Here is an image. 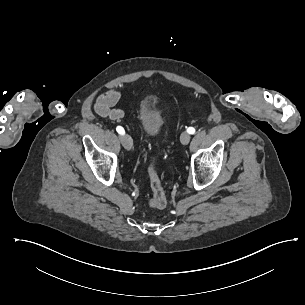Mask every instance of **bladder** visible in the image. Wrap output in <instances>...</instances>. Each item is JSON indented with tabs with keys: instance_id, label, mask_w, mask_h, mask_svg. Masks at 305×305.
<instances>
[{
	"instance_id": "1",
	"label": "bladder",
	"mask_w": 305,
	"mask_h": 305,
	"mask_svg": "<svg viewBox=\"0 0 305 305\" xmlns=\"http://www.w3.org/2000/svg\"><path fill=\"white\" fill-rule=\"evenodd\" d=\"M161 103L162 100L152 93L144 95L136 102L140 125L148 139H157L167 133L170 118L158 106Z\"/></svg>"
}]
</instances>
